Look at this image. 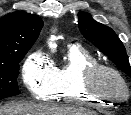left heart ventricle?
<instances>
[{"label":"left heart ventricle","mask_w":131,"mask_h":115,"mask_svg":"<svg viewBox=\"0 0 131 115\" xmlns=\"http://www.w3.org/2000/svg\"><path fill=\"white\" fill-rule=\"evenodd\" d=\"M98 87L104 92L120 94L122 86L120 82L112 75L104 73L97 79Z\"/></svg>","instance_id":"left-heart-ventricle-1"}]
</instances>
